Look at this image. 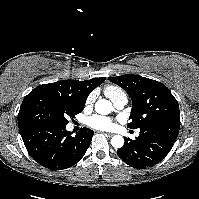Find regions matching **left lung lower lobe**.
<instances>
[{
	"instance_id": "1",
	"label": "left lung lower lobe",
	"mask_w": 199,
	"mask_h": 199,
	"mask_svg": "<svg viewBox=\"0 0 199 199\" xmlns=\"http://www.w3.org/2000/svg\"><path fill=\"white\" fill-rule=\"evenodd\" d=\"M179 129L180 119L163 120L142 128L135 140L125 138L124 146L117 150V154L133 168L152 167L170 152Z\"/></svg>"
}]
</instances>
